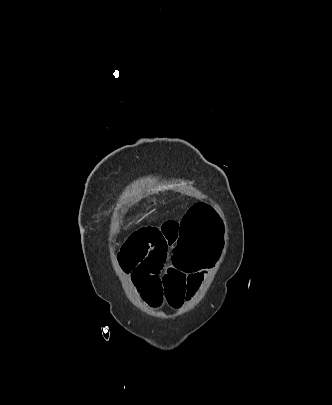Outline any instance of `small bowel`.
I'll list each match as a JSON object with an SVG mask.
<instances>
[{
  "instance_id": "small-bowel-1",
  "label": "small bowel",
  "mask_w": 332,
  "mask_h": 405,
  "mask_svg": "<svg viewBox=\"0 0 332 405\" xmlns=\"http://www.w3.org/2000/svg\"><path fill=\"white\" fill-rule=\"evenodd\" d=\"M177 221L135 230L117 253L122 270L130 276L141 301L151 305L152 313H161L165 301L177 309L198 290L204 275H183L172 262L177 242ZM206 269V268H204Z\"/></svg>"
}]
</instances>
